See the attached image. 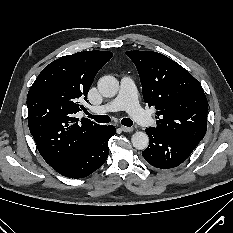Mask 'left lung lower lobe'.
Instances as JSON below:
<instances>
[{"label": "left lung lower lobe", "mask_w": 233, "mask_h": 233, "mask_svg": "<svg viewBox=\"0 0 233 233\" xmlns=\"http://www.w3.org/2000/svg\"><path fill=\"white\" fill-rule=\"evenodd\" d=\"M149 146L142 152L144 159L159 169H169L184 162L198 145L186 137L169 134L153 128L145 130Z\"/></svg>", "instance_id": "1"}]
</instances>
